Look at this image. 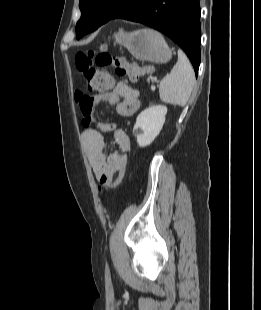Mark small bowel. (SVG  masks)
<instances>
[{
    "label": "small bowel",
    "mask_w": 261,
    "mask_h": 310,
    "mask_svg": "<svg viewBox=\"0 0 261 310\" xmlns=\"http://www.w3.org/2000/svg\"><path fill=\"white\" fill-rule=\"evenodd\" d=\"M75 100L82 115V124L86 127L82 133V141L90 165L101 184L111 183L116 174L126 166L130 140L127 134L122 129H117L114 124L96 122L93 116L94 108L101 103L115 105L120 115L132 116L140 108V92L125 82H117L110 91L95 96L78 91ZM91 124H95L97 129L89 128ZM111 132V139L117 145V151L106 154L105 135Z\"/></svg>",
    "instance_id": "small-bowel-1"
}]
</instances>
